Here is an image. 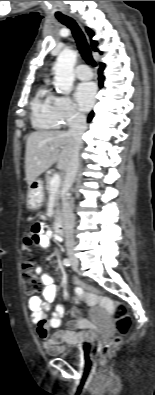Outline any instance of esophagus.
Listing matches in <instances>:
<instances>
[{
    "label": "esophagus",
    "instance_id": "esophagus-1",
    "mask_svg": "<svg viewBox=\"0 0 155 395\" xmlns=\"http://www.w3.org/2000/svg\"><path fill=\"white\" fill-rule=\"evenodd\" d=\"M79 23V25L82 27V24L80 23V22H78Z\"/></svg>",
    "mask_w": 155,
    "mask_h": 395
}]
</instances>
